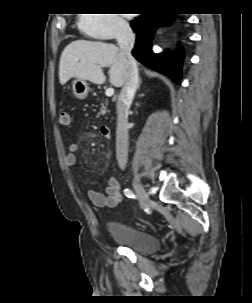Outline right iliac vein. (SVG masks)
Segmentation results:
<instances>
[{"label":"right iliac vein","mask_w":252,"mask_h":303,"mask_svg":"<svg viewBox=\"0 0 252 303\" xmlns=\"http://www.w3.org/2000/svg\"><path fill=\"white\" fill-rule=\"evenodd\" d=\"M132 185L135 189V192L138 194V196L141 199L142 207L143 208L148 207L149 203H150V199H149L147 193L145 192L143 186L140 183H138L137 181H134V180H132Z\"/></svg>","instance_id":"1"}]
</instances>
